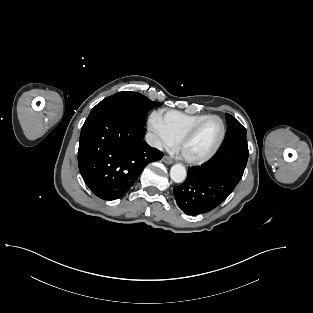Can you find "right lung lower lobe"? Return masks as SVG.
<instances>
[{"label": "right lung lower lobe", "instance_id": "98d812e1", "mask_svg": "<svg viewBox=\"0 0 313 313\" xmlns=\"http://www.w3.org/2000/svg\"><path fill=\"white\" fill-rule=\"evenodd\" d=\"M146 129L125 117L102 113L86 119L80 134L79 170L89 189L99 198H120L144 167L163 153L143 141Z\"/></svg>", "mask_w": 313, "mask_h": 313}]
</instances>
